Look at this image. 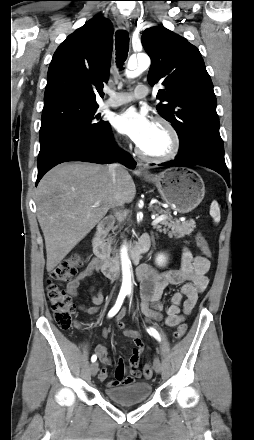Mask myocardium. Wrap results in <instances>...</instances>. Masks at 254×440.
<instances>
[{
    "label": "myocardium",
    "mask_w": 254,
    "mask_h": 440,
    "mask_svg": "<svg viewBox=\"0 0 254 440\" xmlns=\"http://www.w3.org/2000/svg\"><path fill=\"white\" fill-rule=\"evenodd\" d=\"M154 124L163 126L171 137V147L168 152L162 155H149L144 153L140 147L136 148V153L140 158L149 162L164 163L173 160L179 153L181 148V139L174 125L163 117L154 119Z\"/></svg>",
    "instance_id": "f54148a6"
}]
</instances>
